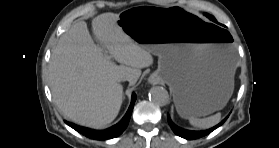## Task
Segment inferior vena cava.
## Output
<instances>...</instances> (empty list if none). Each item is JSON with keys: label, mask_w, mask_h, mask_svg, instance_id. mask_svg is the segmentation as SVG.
Instances as JSON below:
<instances>
[{"label": "inferior vena cava", "mask_w": 279, "mask_h": 148, "mask_svg": "<svg viewBox=\"0 0 279 148\" xmlns=\"http://www.w3.org/2000/svg\"><path fill=\"white\" fill-rule=\"evenodd\" d=\"M119 80H120V81H127L128 78H127L126 76H121V77L119 78Z\"/></svg>", "instance_id": "602c4592"}]
</instances>
